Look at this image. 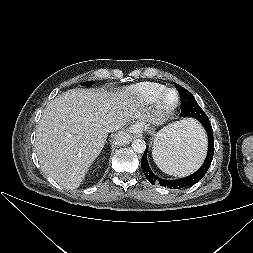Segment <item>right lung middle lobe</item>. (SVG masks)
I'll list each match as a JSON object with an SVG mask.
<instances>
[{"instance_id":"right-lung-middle-lobe-1","label":"right lung middle lobe","mask_w":253,"mask_h":253,"mask_svg":"<svg viewBox=\"0 0 253 253\" xmlns=\"http://www.w3.org/2000/svg\"><path fill=\"white\" fill-rule=\"evenodd\" d=\"M93 83H94V81H88V82L83 83L82 85H84V86H90Z\"/></svg>"}]
</instances>
